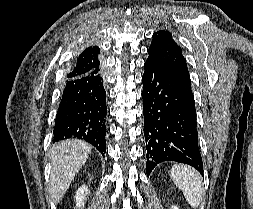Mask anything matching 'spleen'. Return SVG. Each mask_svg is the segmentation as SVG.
<instances>
[{"mask_svg":"<svg viewBox=\"0 0 253 209\" xmlns=\"http://www.w3.org/2000/svg\"><path fill=\"white\" fill-rule=\"evenodd\" d=\"M170 177L182 190L185 199L193 208H197L202 199V181L193 168L186 165H175L171 168Z\"/></svg>","mask_w":253,"mask_h":209,"instance_id":"3e777b00","label":"spleen"}]
</instances>
